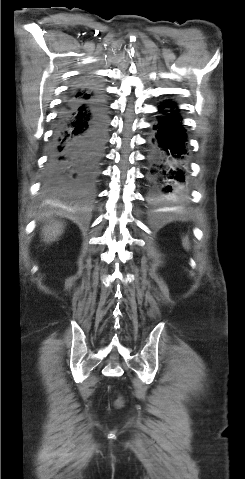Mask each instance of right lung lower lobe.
Segmentation results:
<instances>
[{"label": "right lung lower lobe", "instance_id": "obj_1", "mask_svg": "<svg viewBox=\"0 0 245 479\" xmlns=\"http://www.w3.org/2000/svg\"><path fill=\"white\" fill-rule=\"evenodd\" d=\"M82 80L69 95L88 84ZM108 128L102 94L89 100L68 99L54 128L42 191L45 196L79 208L90 205L95 192Z\"/></svg>", "mask_w": 245, "mask_h": 479}]
</instances>
